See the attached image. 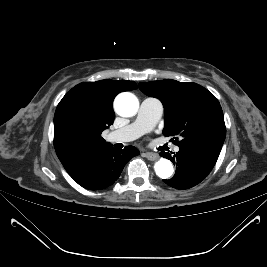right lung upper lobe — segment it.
Listing matches in <instances>:
<instances>
[{
  "instance_id": "1",
  "label": "right lung upper lobe",
  "mask_w": 267,
  "mask_h": 267,
  "mask_svg": "<svg viewBox=\"0 0 267 267\" xmlns=\"http://www.w3.org/2000/svg\"><path fill=\"white\" fill-rule=\"evenodd\" d=\"M137 89L133 81L100 80L76 85L62 98L54 116V147L63 166L83 152L107 145L101 133L113 124V100Z\"/></svg>"
}]
</instances>
